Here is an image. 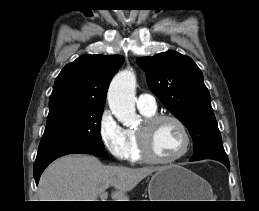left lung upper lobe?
I'll return each instance as SVG.
<instances>
[{
    "instance_id": "5c2ea615",
    "label": "left lung upper lobe",
    "mask_w": 259,
    "mask_h": 211,
    "mask_svg": "<svg viewBox=\"0 0 259 211\" xmlns=\"http://www.w3.org/2000/svg\"><path fill=\"white\" fill-rule=\"evenodd\" d=\"M150 90L189 130L194 144L191 161L228 160L203 74L188 56L170 50L140 57Z\"/></svg>"
}]
</instances>
